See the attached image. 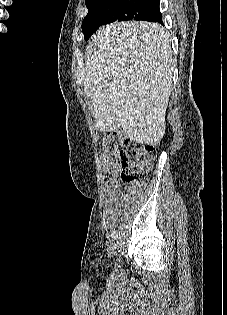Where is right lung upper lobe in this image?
Segmentation results:
<instances>
[{
    "mask_svg": "<svg viewBox=\"0 0 227 315\" xmlns=\"http://www.w3.org/2000/svg\"><path fill=\"white\" fill-rule=\"evenodd\" d=\"M85 1H93V0H85Z\"/></svg>",
    "mask_w": 227,
    "mask_h": 315,
    "instance_id": "right-lung-upper-lobe-1",
    "label": "right lung upper lobe"
}]
</instances>
